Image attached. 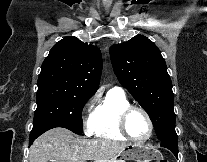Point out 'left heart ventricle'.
Here are the masks:
<instances>
[{
  "label": "left heart ventricle",
  "mask_w": 207,
  "mask_h": 162,
  "mask_svg": "<svg viewBox=\"0 0 207 162\" xmlns=\"http://www.w3.org/2000/svg\"><path fill=\"white\" fill-rule=\"evenodd\" d=\"M127 129L134 138L142 139L149 132L147 119L141 112L134 111L128 118Z\"/></svg>",
  "instance_id": "b2bd125f"
}]
</instances>
